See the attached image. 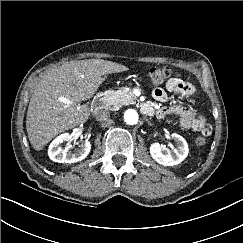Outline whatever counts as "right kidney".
<instances>
[{
    "label": "right kidney",
    "instance_id": "ca27d5eb",
    "mask_svg": "<svg viewBox=\"0 0 243 243\" xmlns=\"http://www.w3.org/2000/svg\"><path fill=\"white\" fill-rule=\"evenodd\" d=\"M70 139L71 135L69 133H64L51 142L48 149V156L52 161L58 163H75L87 157L91 150L89 141H85L81 148L74 152L71 151V144H67L65 149H62L61 144Z\"/></svg>",
    "mask_w": 243,
    "mask_h": 243
}]
</instances>
